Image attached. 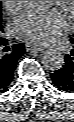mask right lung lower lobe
Segmentation results:
<instances>
[{
	"mask_svg": "<svg viewBox=\"0 0 74 122\" xmlns=\"http://www.w3.org/2000/svg\"><path fill=\"white\" fill-rule=\"evenodd\" d=\"M25 52L23 44H16L9 48L7 40L0 38V93L8 90L18 60Z\"/></svg>",
	"mask_w": 74,
	"mask_h": 122,
	"instance_id": "98d812e1",
	"label": "right lung lower lobe"
}]
</instances>
